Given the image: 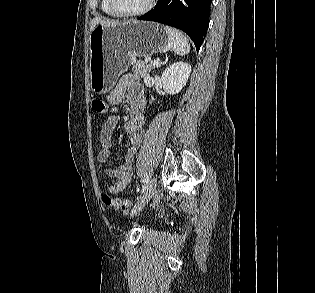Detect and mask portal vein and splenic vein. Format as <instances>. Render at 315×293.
Instances as JSON below:
<instances>
[{
    "label": "portal vein and splenic vein",
    "instance_id": "obj_1",
    "mask_svg": "<svg viewBox=\"0 0 315 293\" xmlns=\"http://www.w3.org/2000/svg\"><path fill=\"white\" fill-rule=\"evenodd\" d=\"M152 64H153V66H157V67L160 66V63H159L158 61H156V60H154V61L152 62Z\"/></svg>",
    "mask_w": 315,
    "mask_h": 293
}]
</instances>
